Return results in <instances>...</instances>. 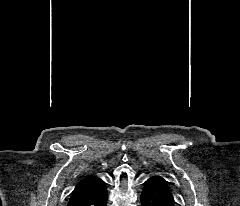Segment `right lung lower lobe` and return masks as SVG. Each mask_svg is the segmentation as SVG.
<instances>
[{"label":"right lung lower lobe","instance_id":"98d812e1","mask_svg":"<svg viewBox=\"0 0 240 206\" xmlns=\"http://www.w3.org/2000/svg\"><path fill=\"white\" fill-rule=\"evenodd\" d=\"M107 189L105 183L91 196L81 199L70 206H107Z\"/></svg>","mask_w":240,"mask_h":206}]
</instances>
